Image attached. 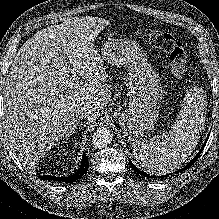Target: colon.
I'll list each match as a JSON object with an SVG mask.
<instances>
[{
  "label": "colon",
  "mask_w": 219,
  "mask_h": 219,
  "mask_svg": "<svg viewBox=\"0 0 219 219\" xmlns=\"http://www.w3.org/2000/svg\"><path fill=\"white\" fill-rule=\"evenodd\" d=\"M139 35L151 45L168 53L173 74L177 80H181L188 61V53L183 43L171 34L160 31L145 30L139 32Z\"/></svg>",
  "instance_id": "obj_1"
}]
</instances>
